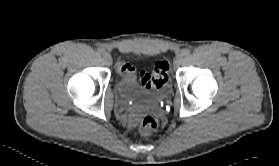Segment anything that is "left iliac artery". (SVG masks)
Instances as JSON below:
<instances>
[{"label": "left iliac artery", "instance_id": "left-iliac-artery-1", "mask_svg": "<svg viewBox=\"0 0 279 166\" xmlns=\"http://www.w3.org/2000/svg\"><path fill=\"white\" fill-rule=\"evenodd\" d=\"M181 54H182L183 56H188V55H190V50H189V49H183L182 52H181Z\"/></svg>", "mask_w": 279, "mask_h": 166}]
</instances>
